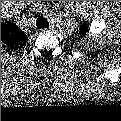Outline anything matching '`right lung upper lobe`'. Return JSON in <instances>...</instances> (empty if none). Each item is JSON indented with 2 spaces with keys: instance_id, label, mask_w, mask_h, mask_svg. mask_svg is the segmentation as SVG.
<instances>
[{
  "instance_id": "right-lung-upper-lobe-1",
  "label": "right lung upper lobe",
  "mask_w": 121,
  "mask_h": 121,
  "mask_svg": "<svg viewBox=\"0 0 121 121\" xmlns=\"http://www.w3.org/2000/svg\"><path fill=\"white\" fill-rule=\"evenodd\" d=\"M1 40L10 49H20L28 38L16 24L9 22L1 26Z\"/></svg>"
}]
</instances>
